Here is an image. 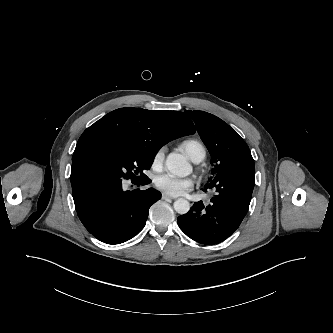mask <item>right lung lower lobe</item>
<instances>
[{
  "label": "right lung lower lobe",
  "mask_w": 333,
  "mask_h": 333,
  "mask_svg": "<svg viewBox=\"0 0 333 333\" xmlns=\"http://www.w3.org/2000/svg\"><path fill=\"white\" fill-rule=\"evenodd\" d=\"M72 194L85 228L98 240L120 244L137 235L145 226L150 206L160 199L153 188L124 191L123 179L94 162L72 159ZM150 183L146 178L142 185Z\"/></svg>",
  "instance_id": "obj_1"
}]
</instances>
